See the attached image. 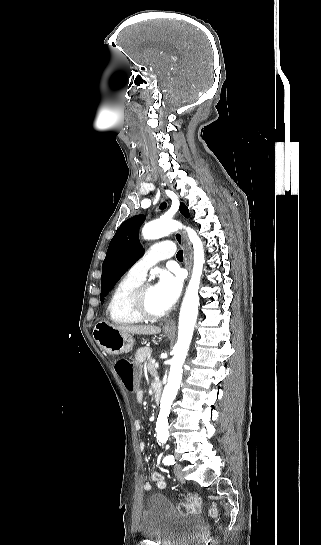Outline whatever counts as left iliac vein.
Listing matches in <instances>:
<instances>
[{"instance_id": "4c4485c4", "label": "left iliac vein", "mask_w": 321, "mask_h": 545, "mask_svg": "<svg viewBox=\"0 0 321 545\" xmlns=\"http://www.w3.org/2000/svg\"><path fill=\"white\" fill-rule=\"evenodd\" d=\"M174 473H175L176 478L179 481H184L185 475H184L183 468H182L181 465L176 464L174 466Z\"/></svg>"}]
</instances>
